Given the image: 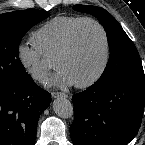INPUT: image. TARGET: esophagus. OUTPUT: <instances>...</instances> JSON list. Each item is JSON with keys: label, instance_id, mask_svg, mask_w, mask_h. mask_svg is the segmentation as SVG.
I'll list each match as a JSON object with an SVG mask.
<instances>
[{"label": "esophagus", "instance_id": "obj_1", "mask_svg": "<svg viewBox=\"0 0 145 145\" xmlns=\"http://www.w3.org/2000/svg\"><path fill=\"white\" fill-rule=\"evenodd\" d=\"M51 96L52 98L68 97L65 93H62V92H52Z\"/></svg>", "mask_w": 145, "mask_h": 145}]
</instances>
